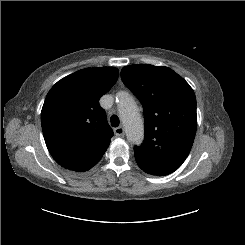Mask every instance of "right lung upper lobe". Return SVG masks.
Instances as JSON below:
<instances>
[{"label":"right lung upper lobe","mask_w":245,"mask_h":245,"mask_svg":"<svg viewBox=\"0 0 245 245\" xmlns=\"http://www.w3.org/2000/svg\"><path fill=\"white\" fill-rule=\"evenodd\" d=\"M118 78L115 67L86 68L58 81L41 111L46 146L61 166L83 172L107 150L113 130L99 99Z\"/></svg>","instance_id":"right-lung-upper-lobe-1"}]
</instances>
